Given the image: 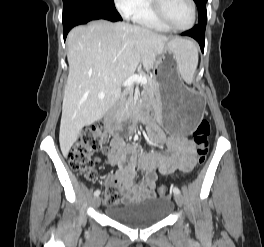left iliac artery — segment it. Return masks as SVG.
Wrapping results in <instances>:
<instances>
[{"instance_id": "44dca946", "label": "left iliac artery", "mask_w": 264, "mask_h": 247, "mask_svg": "<svg viewBox=\"0 0 264 247\" xmlns=\"http://www.w3.org/2000/svg\"><path fill=\"white\" fill-rule=\"evenodd\" d=\"M172 190H173L174 194H180L179 188L173 187Z\"/></svg>"}]
</instances>
